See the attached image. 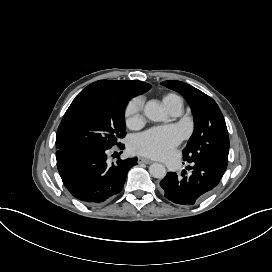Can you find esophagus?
<instances>
[{"label": "esophagus", "instance_id": "esophagus-1", "mask_svg": "<svg viewBox=\"0 0 272 272\" xmlns=\"http://www.w3.org/2000/svg\"><path fill=\"white\" fill-rule=\"evenodd\" d=\"M138 163H145V164H151L152 160L148 159V158H144V157H139L138 158Z\"/></svg>", "mask_w": 272, "mask_h": 272}]
</instances>
